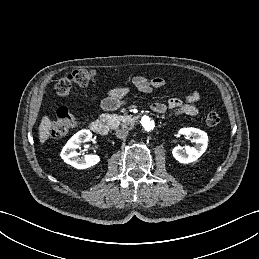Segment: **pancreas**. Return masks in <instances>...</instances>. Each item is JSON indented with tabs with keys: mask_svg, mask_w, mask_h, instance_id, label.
<instances>
[{
	"mask_svg": "<svg viewBox=\"0 0 259 259\" xmlns=\"http://www.w3.org/2000/svg\"><path fill=\"white\" fill-rule=\"evenodd\" d=\"M101 118L111 129L117 128L121 123L131 124L133 122L130 116L116 114H103Z\"/></svg>",
	"mask_w": 259,
	"mask_h": 259,
	"instance_id": "obj_1",
	"label": "pancreas"
}]
</instances>
